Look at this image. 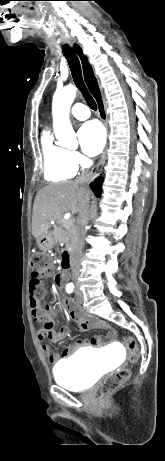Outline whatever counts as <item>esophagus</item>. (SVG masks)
Wrapping results in <instances>:
<instances>
[{
  "instance_id": "1",
  "label": "esophagus",
  "mask_w": 165,
  "mask_h": 461,
  "mask_svg": "<svg viewBox=\"0 0 165 461\" xmlns=\"http://www.w3.org/2000/svg\"><path fill=\"white\" fill-rule=\"evenodd\" d=\"M74 47L76 48V50L78 51V53L80 54V59H81V65H82V69L84 71V65H85V57L81 54V50L80 48L78 47L77 44L74 43ZM101 97H102V100H103V95H102V92H101ZM97 101V100H96ZM97 107H98V112H99V115H100V118L101 120L106 124L107 122V115H106V111H105V106H104V103L102 101L101 102H97ZM107 148H108V144L106 145L103 153H102V156H101V159L98 163V165L96 167H94L92 170H91V173L89 174V178L90 179H94L96 178L97 176H99L100 174V171H101V168L102 166L104 165L105 163V160H106V153H107Z\"/></svg>"
}]
</instances>
